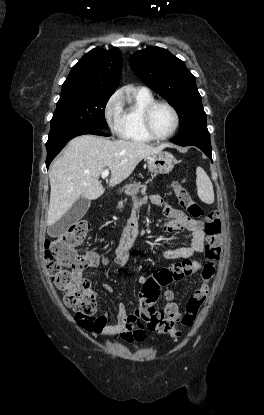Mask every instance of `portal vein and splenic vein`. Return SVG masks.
<instances>
[{
	"mask_svg": "<svg viewBox=\"0 0 264 415\" xmlns=\"http://www.w3.org/2000/svg\"><path fill=\"white\" fill-rule=\"evenodd\" d=\"M108 175H109V170L108 169L103 170L102 173H101V176H102L103 179L107 178Z\"/></svg>",
	"mask_w": 264,
	"mask_h": 415,
	"instance_id": "obj_1",
	"label": "portal vein and splenic vein"
}]
</instances>
